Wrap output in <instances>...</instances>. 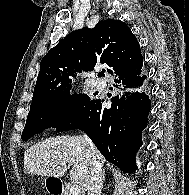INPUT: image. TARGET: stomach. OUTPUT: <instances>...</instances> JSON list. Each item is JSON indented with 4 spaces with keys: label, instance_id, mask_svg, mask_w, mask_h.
I'll list each match as a JSON object with an SVG mask.
<instances>
[{
    "label": "stomach",
    "instance_id": "0dacf381",
    "mask_svg": "<svg viewBox=\"0 0 189 195\" xmlns=\"http://www.w3.org/2000/svg\"><path fill=\"white\" fill-rule=\"evenodd\" d=\"M50 178H51V177H47L46 180H45V187H46V189H48V190L52 188V187L50 186V183H49V182H50Z\"/></svg>",
    "mask_w": 189,
    "mask_h": 195
}]
</instances>
